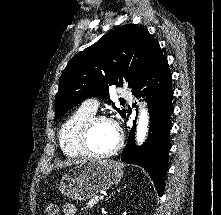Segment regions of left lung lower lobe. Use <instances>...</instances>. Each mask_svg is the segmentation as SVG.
Here are the masks:
<instances>
[{
  "instance_id": "obj_1",
  "label": "left lung lower lobe",
  "mask_w": 221,
  "mask_h": 215,
  "mask_svg": "<svg viewBox=\"0 0 221 215\" xmlns=\"http://www.w3.org/2000/svg\"><path fill=\"white\" fill-rule=\"evenodd\" d=\"M171 81L172 74L165 57L132 90L136 98H140L142 93L147 97L150 133L146 143L137 147L134 141L135 131L132 129L121 155L123 162L142 166L149 173L160 196L163 193L164 177L168 168V152L171 148L169 141V132L172 128L170 115L173 112ZM142 88L144 89L140 91Z\"/></svg>"
}]
</instances>
